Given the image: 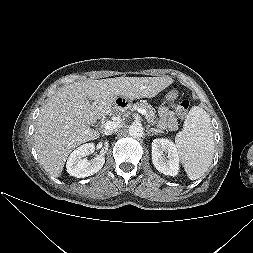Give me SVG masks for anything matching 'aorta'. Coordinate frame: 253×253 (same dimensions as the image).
<instances>
[{
    "instance_id": "762f6f07",
    "label": "aorta",
    "mask_w": 253,
    "mask_h": 253,
    "mask_svg": "<svg viewBox=\"0 0 253 253\" xmlns=\"http://www.w3.org/2000/svg\"><path fill=\"white\" fill-rule=\"evenodd\" d=\"M144 134V130H143V127L141 126V124H132L130 125L129 127V135L132 137V138H140L142 137Z\"/></svg>"
}]
</instances>
